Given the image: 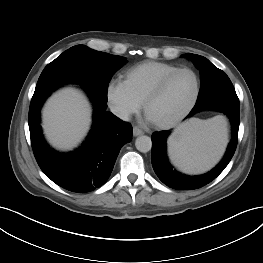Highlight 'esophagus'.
I'll use <instances>...</instances> for the list:
<instances>
[{"label": "esophagus", "mask_w": 263, "mask_h": 263, "mask_svg": "<svg viewBox=\"0 0 263 263\" xmlns=\"http://www.w3.org/2000/svg\"><path fill=\"white\" fill-rule=\"evenodd\" d=\"M143 134V131L141 129H139L138 127H133V135L134 136H139V135H142Z\"/></svg>", "instance_id": "1"}]
</instances>
